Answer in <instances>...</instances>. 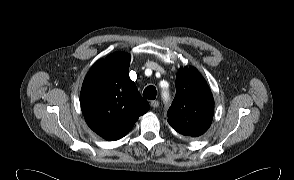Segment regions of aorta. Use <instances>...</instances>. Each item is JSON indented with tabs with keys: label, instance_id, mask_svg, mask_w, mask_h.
<instances>
[{
	"label": "aorta",
	"instance_id": "aorta-1",
	"mask_svg": "<svg viewBox=\"0 0 294 180\" xmlns=\"http://www.w3.org/2000/svg\"><path fill=\"white\" fill-rule=\"evenodd\" d=\"M162 95H163V98L167 97V94L165 92Z\"/></svg>",
	"mask_w": 294,
	"mask_h": 180
}]
</instances>
